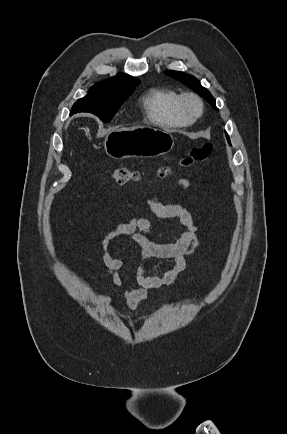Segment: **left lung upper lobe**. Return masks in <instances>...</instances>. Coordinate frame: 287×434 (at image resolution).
<instances>
[{
  "label": "left lung upper lobe",
  "instance_id": "1",
  "mask_svg": "<svg viewBox=\"0 0 287 434\" xmlns=\"http://www.w3.org/2000/svg\"><path fill=\"white\" fill-rule=\"evenodd\" d=\"M165 74L168 76H171L173 78H176V79L182 81L183 83H185L189 88H191L192 90L197 92L199 95L204 97L212 105L213 108L217 109L216 105H215V99L213 98V96L210 94V92L206 88L201 86L200 82L195 77L188 75L186 73H183V72L173 71V70L166 71ZM226 136H227L228 142H230L227 134H226Z\"/></svg>",
  "mask_w": 287,
  "mask_h": 434
}]
</instances>
